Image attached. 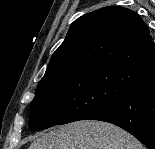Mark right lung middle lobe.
<instances>
[{
	"label": "right lung middle lobe",
	"instance_id": "dd1d6c3e",
	"mask_svg": "<svg viewBox=\"0 0 155 149\" xmlns=\"http://www.w3.org/2000/svg\"><path fill=\"white\" fill-rule=\"evenodd\" d=\"M145 79L130 69L101 68L41 81L31 101L29 128L90 119Z\"/></svg>",
	"mask_w": 155,
	"mask_h": 149
}]
</instances>
